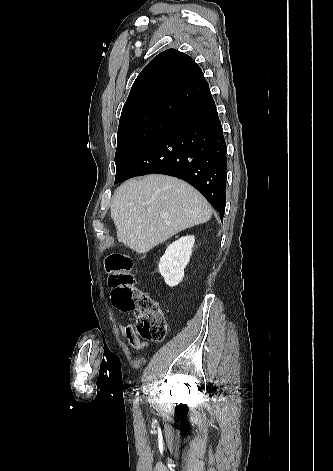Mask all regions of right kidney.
<instances>
[{"label": "right kidney", "instance_id": "right-kidney-1", "mask_svg": "<svg viewBox=\"0 0 333 471\" xmlns=\"http://www.w3.org/2000/svg\"><path fill=\"white\" fill-rule=\"evenodd\" d=\"M194 242V236H184L170 244L160 259L159 272L169 287H175L182 281Z\"/></svg>", "mask_w": 333, "mask_h": 471}]
</instances>
